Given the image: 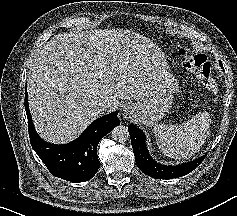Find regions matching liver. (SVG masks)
Here are the masks:
<instances>
[{
	"mask_svg": "<svg viewBox=\"0 0 237 216\" xmlns=\"http://www.w3.org/2000/svg\"><path fill=\"white\" fill-rule=\"evenodd\" d=\"M160 78L153 68L124 65L113 31L58 34L42 47L27 74L36 131L51 143L73 141L115 110H103L102 99L140 100Z\"/></svg>",
	"mask_w": 237,
	"mask_h": 216,
	"instance_id": "1",
	"label": "liver"
}]
</instances>
